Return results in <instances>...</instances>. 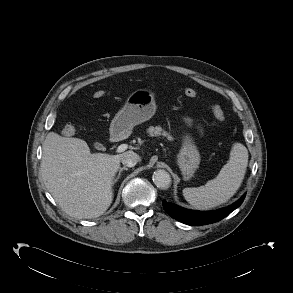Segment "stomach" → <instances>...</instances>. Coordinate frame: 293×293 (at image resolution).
<instances>
[{
  "mask_svg": "<svg viewBox=\"0 0 293 293\" xmlns=\"http://www.w3.org/2000/svg\"><path fill=\"white\" fill-rule=\"evenodd\" d=\"M154 96V92L148 89H138L131 93L111 122V136L115 139L125 137L134 126L149 120L156 111ZM177 164L185 179L192 177L200 164L199 151L189 134L183 136Z\"/></svg>",
  "mask_w": 293,
  "mask_h": 293,
  "instance_id": "obj_1",
  "label": "stomach"
}]
</instances>
